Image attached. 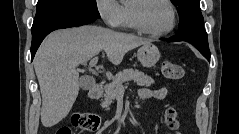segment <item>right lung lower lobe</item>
I'll return each instance as SVG.
<instances>
[{
  "label": "right lung lower lobe",
  "mask_w": 239,
  "mask_h": 134,
  "mask_svg": "<svg viewBox=\"0 0 239 134\" xmlns=\"http://www.w3.org/2000/svg\"><path fill=\"white\" fill-rule=\"evenodd\" d=\"M96 18L78 15V14H67L55 17L42 26H40L35 31H32V45H31V60L34 58V55L43 41V39L52 31L60 28H69L74 26H81L85 24L92 23Z\"/></svg>",
  "instance_id": "1"
}]
</instances>
